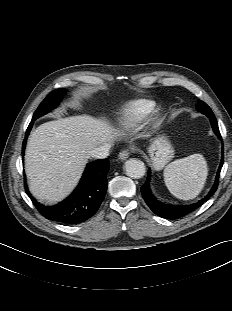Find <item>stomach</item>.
I'll return each instance as SVG.
<instances>
[{"mask_svg":"<svg viewBox=\"0 0 232 311\" xmlns=\"http://www.w3.org/2000/svg\"><path fill=\"white\" fill-rule=\"evenodd\" d=\"M148 152L155 170H161L174 155L173 146L165 136H158L153 139Z\"/></svg>","mask_w":232,"mask_h":311,"instance_id":"0dacf381","label":"stomach"}]
</instances>
